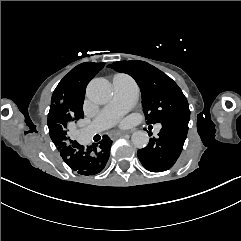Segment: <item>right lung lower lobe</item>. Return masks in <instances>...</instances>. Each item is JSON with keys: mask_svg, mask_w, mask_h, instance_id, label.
<instances>
[{"mask_svg": "<svg viewBox=\"0 0 241 241\" xmlns=\"http://www.w3.org/2000/svg\"><path fill=\"white\" fill-rule=\"evenodd\" d=\"M112 141L107 135L96 144L84 147L78 142L58 148L65 163L82 175H95L101 172L110 156Z\"/></svg>", "mask_w": 241, "mask_h": 241, "instance_id": "1", "label": "right lung lower lobe"}]
</instances>
